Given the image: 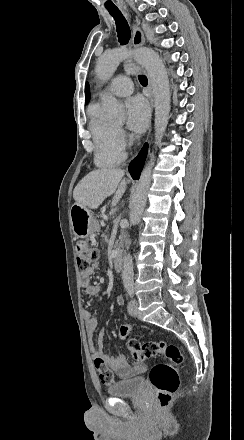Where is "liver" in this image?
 <instances>
[{
  "instance_id": "1",
  "label": "liver",
  "mask_w": 244,
  "mask_h": 440,
  "mask_svg": "<svg viewBox=\"0 0 244 440\" xmlns=\"http://www.w3.org/2000/svg\"><path fill=\"white\" fill-rule=\"evenodd\" d=\"M124 170L116 168H101L94 170L82 178L73 190V198L77 204L96 210L102 202L115 194L112 206H117L126 192V180H123Z\"/></svg>"
}]
</instances>
